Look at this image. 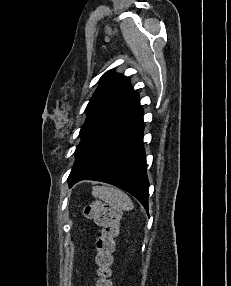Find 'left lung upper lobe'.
<instances>
[{
    "mask_svg": "<svg viewBox=\"0 0 231 286\" xmlns=\"http://www.w3.org/2000/svg\"><path fill=\"white\" fill-rule=\"evenodd\" d=\"M135 92L127 77L112 70L106 72L86 107L87 118L80 130L81 138Z\"/></svg>",
    "mask_w": 231,
    "mask_h": 286,
    "instance_id": "5c2ea615",
    "label": "left lung upper lobe"
}]
</instances>
